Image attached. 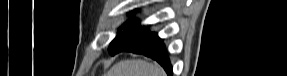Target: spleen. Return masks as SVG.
Instances as JSON below:
<instances>
[{
  "instance_id": "spleen-1",
  "label": "spleen",
  "mask_w": 287,
  "mask_h": 76,
  "mask_svg": "<svg viewBox=\"0 0 287 76\" xmlns=\"http://www.w3.org/2000/svg\"><path fill=\"white\" fill-rule=\"evenodd\" d=\"M163 69L158 64L141 59H128L113 65L107 76H164Z\"/></svg>"
}]
</instances>
